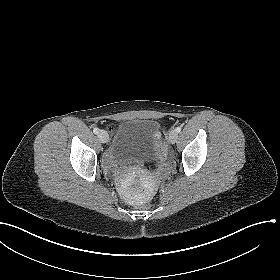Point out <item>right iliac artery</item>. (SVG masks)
<instances>
[{
	"label": "right iliac artery",
	"instance_id": "82829eb1",
	"mask_svg": "<svg viewBox=\"0 0 280 280\" xmlns=\"http://www.w3.org/2000/svg\"><path fill=\"white\" fill-rule=\"evenodd\" d=\"M93 132H94L95 134H98V133H99V129H98V128H94V129H93Z\"/></svg>",
	"mask_w": 280,
	"mask_h": 280
}]
</instances>
